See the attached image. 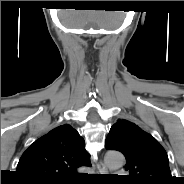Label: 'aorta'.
<instances>
[{
  "instance_id": "obj_1",
  "label": "aorta",
  "mask_w": 184,
  "mask_h": 184,
  "mask_svg": "<svg viewBox=\"0 0 184 184\" xmlns=\"http://www.w3.org/2000/svg\"><path fill=\"white\" fill-rule=\"evenodd\" d=\"M104 160L107 167L111 170L119 169L124 164V156L117 151H108Z\"/></svg>"
}]
</instances>
